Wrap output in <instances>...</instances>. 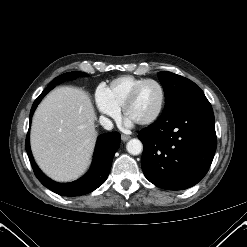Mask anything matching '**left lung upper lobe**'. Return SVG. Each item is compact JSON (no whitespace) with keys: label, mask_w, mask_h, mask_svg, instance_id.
Returning a JSON list of instances; mask_svg holds the SVG:
<instances>
[{"label":"left lung upper lobe","mask_w":247,"mask_h":247,"mask_svg":"<svg viewBox=\"0 0 247 247\" xmlns=\"http://www.w3.org/2000/svg\"><path fill=\"white\" fill-rule=\"evenodd\" d=\"M158 78L163 85L165 93L164 111H166L184 97L203 93L198 85L180 75L163 71L158 73Z\"/></svg>","instance_id":"5c2ea615"}]
</instances>
